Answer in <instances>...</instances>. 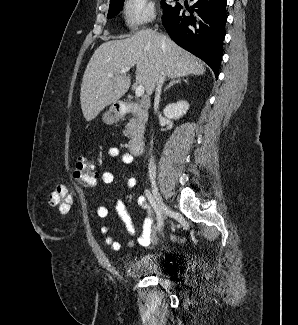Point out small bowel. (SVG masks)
<instances>
[{"instance_id":"1","label":"small bowel","mask_w":298,"mask_h":325,"mask_svg":"<svg viewBox=\"0 0 298 325\" xmlns=\"http://www.w3.org/2000/svg\"><path fill=\"white\" fill-rule=\"evenodd\" d=\"M108 156L114 160H121L124 164L132 165L134 161V157L132 154L128 152H122L117 147H112L108 150ZM102 182L105 184H110L114 181V174L110 171H105L101 175ZM137 180L134 176H131L127 180V185L129 188H132L136 185ZM137 203L140 207H146V199L144 196H140L137 199ZM115 211L120 219L125 224L126 230L129 235L133 236L136 232L135 225L130 217L125 205L122 201L118 200L115 203ZM108 208L106 206H99L97 208V215L100 218H106L108 216ZM154 224L153 219L147 217L143 223L142 233L138 238V244L141 246H148L151 242L152 234H153ZM100 232L105 236V243L110 246L113 250H119L121 248V244L114 239L113 236L110 235V226L107 224H102L100 227ZM133 242H128L127 247H133Z\"/></svg>"}]
</instances>
